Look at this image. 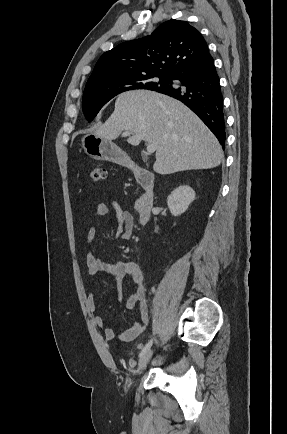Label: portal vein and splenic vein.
I'll return each mask as SVG.
<instances>
[{
	"mask_svg": "<svg viewBox=\"0 0 287 434\" xmlns=\"http://www.w3.org/2000/svg\"><path fill=\"white\" fill-rule=\"evenodd\" d=\"M125 136L130 135V132H124ZM147 153L152 154L156 151V145L149 143L146 147Z\"/></svg>",
	"mask_w": 287,
	"mask_h": 434,
	"instance_id": "18ae733b",
	"label": "portal vein and splenic vein"
}]
</instances>
